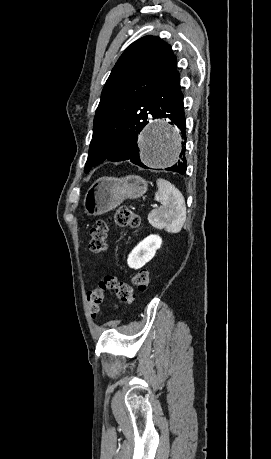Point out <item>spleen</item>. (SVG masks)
Instances as JSON below:
<instances>
[{"label": "spleen", "instance_id": "obj_1", "mask_svg": "<svg viewBox=\"0 0 271 459\" xmlns=\"http://www.w3.org/2000/svg\"><path fill=\"white\" fill-rule=\"evenodd\" d=\"M158 192L155 200L161 202V208L153 210L149 222L158 229H166L169 233H178L186 222V206L184 198L170 182L159 178L156 182Z\"/></svg>", "mask_w": 271, "mask_h": 459}]
</instances>
